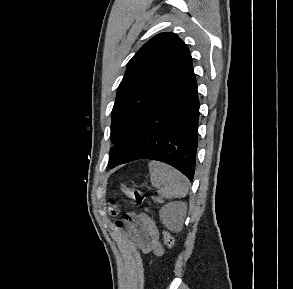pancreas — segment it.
<instances>
[{
    "mask_svg": "<svg viewBox=\"0 0 293 289\" xmlns=\"http://www.w3.org/2000/svg\"><path fill=\"white\" fill-rule=\"evenodd\" d=\"M153 199H154V200H156V201H160V199H159V198H155V197H154Z\"/></svg>",
    "mask_w": 293,
    "mask_h": 289,
    "instance_id": "1",
    "label": "pancreas"
}]
</instances>
